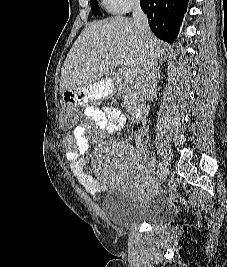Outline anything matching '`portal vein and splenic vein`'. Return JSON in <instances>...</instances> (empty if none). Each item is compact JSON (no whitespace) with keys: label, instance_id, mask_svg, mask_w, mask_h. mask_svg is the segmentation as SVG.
I'll return each mask as SVG.
<instances>
[{"label":"portal vein and splenic vein","instance_id":"1","mask_svg":"<svg viewBox=\"0 0 227 267\" xmlns=\"http://www.w3.org/2000/svg\"><path fill=\"white\" fill-rule=\"evenodd\" d=\"M114 63L116 65H123V61L119 59H115ZM123 77L127 83H133L135 79V75L132 73V71L126 68H124Z\"/></svg>","mask_w":227,"mask_h":267}]
</instances>
